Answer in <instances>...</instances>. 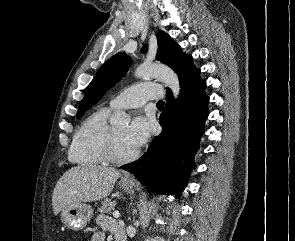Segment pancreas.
I'll return each instance as SVG.
<instances>
[{
  "label": "pancreas",
  "mask_w": 295,
  "mask_h": 241,
  "mask_svg": "<svg viewBox=\"0 0 295 241\" xmlns=\"http://www.w3.org/2000/svg\"><path fill=\"white\" fill-rule=\"evenodd\" d=\"M115 207V202H112L110 199H106L102 202V205L99 208L100 212H111L112 210H114Z\"/></svg>",
  "instance_id": "obj_1"
}]
</instances>
